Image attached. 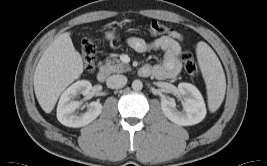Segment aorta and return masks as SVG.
Returning a JSON list of instances; mask_svg holds the SVG:
<instances>
[{"mask_svg":"<svg viewBox=\"0 0 267 166\" xmlns=\"http://www.w3.org/2000/svg\"><path fill=\"white\" fill-rule=\"evenodd\" d=\"M132 88L135 91L141 90L143 88V83L140 80H134L132 83Z\"/></svg>","mask_w":267,"mask_h":166,"instance_id":"1","label":"aorta"}]
</instances>
